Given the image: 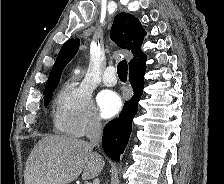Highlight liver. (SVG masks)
I'll return each instance as SVG.
<instances>
[{"label": "liver", "mask_w": 224, "mask_h": 184, "mask_svg": "<svg viewBox=\"0 0 224 184\" xmlns=\"http://www.w3.org/2000/svg\"><path fill=\"white\" fill-rule=\"evenodd\" d=\"M101 155L86 141L64 135H47L33 148L26 162L25 184H69L82 173L97 177L104 167Z\"/></svg>", "instance_id": "1"}]
</instances>
